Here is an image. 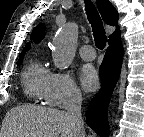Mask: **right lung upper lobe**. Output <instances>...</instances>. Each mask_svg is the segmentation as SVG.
Returning <instances> with one entry per match:
<instances>
[{
	"label": "right lung upper lobe",
	"instance_id": "right-lung-upper-lobe-1",
	"mask_svg": "<svg viewBox=\"0 0 144 137\" xmlns=\"http://www.w3.org/2000/svg\"><path fill=\"white\" fill-rule=\"evenodd\" d=\"M97 6L104 22L108 25L116 26L119 18L118 12L114 8V6L109 2V0H97ZM44 30H45L44 24L37 25L32 31L31 39H33V41L36 43L40 42L45 35ZM118 39H120L119 27L116 28L114 34L110 35L108 42H112ZM30 46H31L30 43L26 44L25 48L23 49L20 55L19 61L23 59L25 52L30 49Z\"/></svg>",
	"mask_w": 144,
	"mask_h": 137
}]
</instances>
